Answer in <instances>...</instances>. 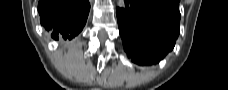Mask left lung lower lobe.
Instances as JSON below:
<instances>
[{
    "label": "left lung lower lobe",
    "mask_w": 228,
    "mask_h": 90,
    "mask_svg": "<svg viewBox=\"0 0 228 90\" xmlns=\"http://www.w3.org/2000/svg\"><path fill=\"white\" fill-rule=\"evenodd\" d=\"M119 32L129 57L139 64L159 62L179 35V0H125L117 8Z\"/></svg>",
    "instance_id": "1"
}]
</instances>
